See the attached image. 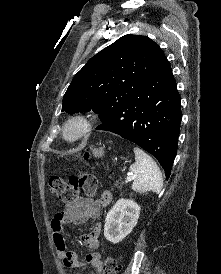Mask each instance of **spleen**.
Listing matches in <instances>:
<instances>
[{"label": "spleen", "mask_w": 221, "mask_h": 274, "mask_svg": "<svg viewBox=\"0 0 221 274\" xmlns=\"http://www.w3.org/2000/svg\"><path fill=\"white\" fill-rule=\"evenodd\" d=\"M135 163L129 168L134 176L132 189L139 193L153 191L160 193L163 187V178L156 162L138 147L133 149Z\"/></svg>", "instance_id": "1"}]
</instances>
